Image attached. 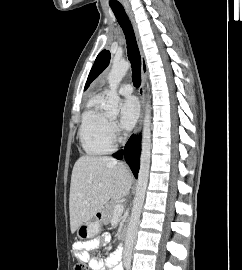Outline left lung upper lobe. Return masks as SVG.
Listing matches in <instances>:
<instances>
[{"mask_svg": "<svg viewBox=\"0 0 242 270\" xmlns=\"http://www.w3.org/2000/svg\"><path fill=\"white\" fill-rule=\"evenodd\" d=\"M110 61V52L107 50H103L97 56L94 65L89 73L85 90L88 88L90 83L108 66Z\"/></svg>", "mask_w": 242, "mask_h": 270, "instance_id": "1", "label": "left lung upper lobe"}]
</instances>
